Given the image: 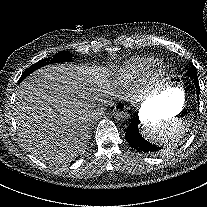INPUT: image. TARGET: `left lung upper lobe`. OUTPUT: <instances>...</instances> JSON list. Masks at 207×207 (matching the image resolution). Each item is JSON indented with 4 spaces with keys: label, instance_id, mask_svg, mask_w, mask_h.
Instances as JSON below:
<instances>
[{
    "label": "left lung upper lobe",
    "instance_id": "5c2ea615",
    "mask_svg": "<svg viewBox=\"0 0 207 207\" xmlns=\"http://www.w3.org/2000/svg\"><path fill=\"white\" fill-rule=\"evenodd\" d=\"M189 76L192 77L194 75H197L196 69L192 63H190V67L188 70Z\"/></svg>",
    "mask_w": 207,
    "mask_h": 207
}]
</instances>
